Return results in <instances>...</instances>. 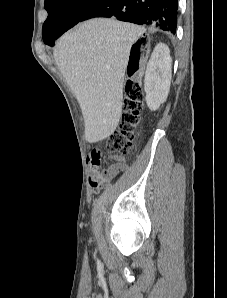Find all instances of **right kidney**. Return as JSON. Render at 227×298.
<instances>
[{
    "instance_id": "obj_1",
    "label": "right kidney",
    "mask_w": 227,
    "mask_h": 298,
    "mask_svg": "<svg viewBox=\"0 0 227 298\" xmlns=\"http://www.w3.org/2000/svg\"><path fill=\"white\" fill-rule=\"evenodd\" d=\"M171 67L169 47L164 43L157 44L147 64L144 79L146 103L150 110H157L167 99L171 82Z\"/></svg>"
}]
</instances>
